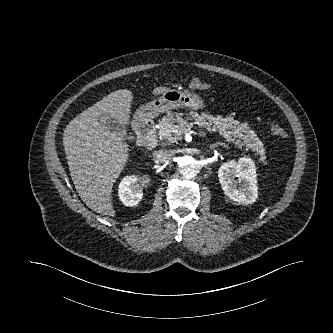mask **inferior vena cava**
I'll use <instances>...</instances> for the list:
<instances>
[{
	"mask_svg": "<svg viewBox=\"0 0 333 333\" xmlns=\"http://www.w3.org/2000/svg\"><path fill=\"white\" fill-rule=\"evenodd\" d=\"M175 155V151L169 150H158L153 153V156L160 162H166Z\"/></svg>",
	"mask_w": 333,
	"mask_h": 333,
	"instance_id": "inferior-vena-cava-1",
	"label": "inferior vena cava"
}]
</instances>
